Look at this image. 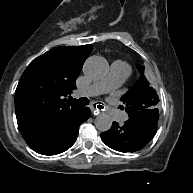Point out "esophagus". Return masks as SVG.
<instances>
[{
  "mask_svg": "<svg viewBox=\"0 0 193 193\" xmlns=\"http://www.w3.org/2000/svg\"><path fill=\"white\" fill-rule=\"evenodd\" d=\"M92 112H93L94 115L100 114V111L98 109L94 108V107H92Z\"/></svg>",
  "mask_w": 193,
  "mask_h": 193,
  "instance_id": "esophagus-1",
  "label": "esophagus"
}]
</instances>
